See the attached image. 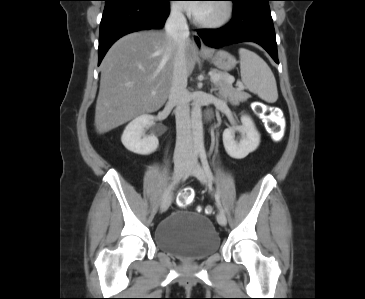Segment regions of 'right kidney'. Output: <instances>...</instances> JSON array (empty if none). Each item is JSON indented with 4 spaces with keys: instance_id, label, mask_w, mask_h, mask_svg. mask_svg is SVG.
I'll list each match as a JSON object with an SVG mask.
<instances>
[{
    "instance_id": "obj_1",
    "label": "right kidney",
    "mask_w": 365,
    "mask_h": 299,
    "mask_svg": "<svg viewBox=\"0 0 365 299\" xmlns=\"http://www.w3.org/2000/svg\"><path fill=\"white\" fill-rule=\"evenodd\" d=\"M152 121V116L140 115L126 126L121 141L127 150L140 155H148L157 149L158 138L154 135L145 136L143 132L146 126L152 124Z\"/></svg>"
}]
</instances>
